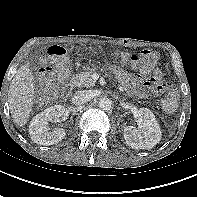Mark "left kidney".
I'll list each match as a JSON object with an SVG mask.
<instances>
[{
    "instance_id": "obj_1",
    "label": "left kidney",
    "mask_w": 197,
    "mask_h": 197,
    "mask_svg": "<svg viewBox=\"0 0 197 197\" xmlns=\"http://www.w3.org/2000/svg\"><path fill=\"white\" fill-rule=\"evenodd\" d=\"M135 118L139 129L133 126H123L127 145L134 149L153 148L160 142L162 136L155 115L148 108H140Z\"/></svg>"
}]
</instances>
